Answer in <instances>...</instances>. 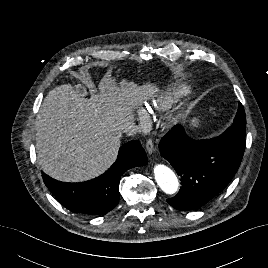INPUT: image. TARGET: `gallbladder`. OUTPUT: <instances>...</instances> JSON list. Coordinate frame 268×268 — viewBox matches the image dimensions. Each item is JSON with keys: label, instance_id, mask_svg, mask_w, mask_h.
<instances>
[{"label": "gallbladder", "instance_id": "obj_1", "mask_svg": "<svg viewBox=\"0 0 268 268\" xmlns=\"http://www.w3.org/2000/svg\"><path fill=\"white\" fill-rule=\"evenodd\" d=\"M79 92H80V93H83V91H82V90H80V89H79Z\"/></svg>", "mask_w": 268, "mask_h": 268}]
</instances>
